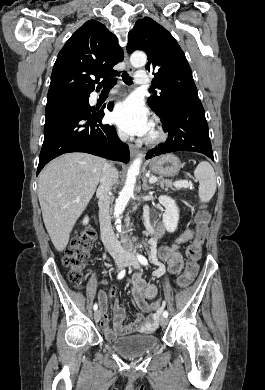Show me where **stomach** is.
Segmentation results:
<instances>
[{"label": "stomach", "mask_w": 265, "mask_h": 390, "mask_svg": "<svg viewBox=\"0 0 265 390\" xmlns=\"http://www.w3.org/2000/svg\"><path fill=\"white\" fill-rule=\"evenodd\" d=\"M182 167L180 159L173 154L156 157L149 162L151 172L160 176L173 177L178 174Z\"/></svg>", "instance_id": "0dacf381"}]
</instances>
